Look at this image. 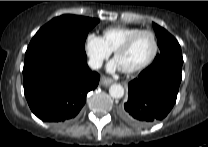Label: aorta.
Segmentation results:
<instances>
[{"mask_svg":"<svg viewBox=\"0 0 208 147\" xmlns=\"http://www.w3.org/2000/svg\"><path fill=\"white\" fill-rule=\"evenodd\" d=\"M109 94L112 98H122L124 95V88L120 84H112L109 88Z\"/></svg>","mask_w":208,"mask_h":147,"instance_id":"1","label":"aorta"}]
</instances>
